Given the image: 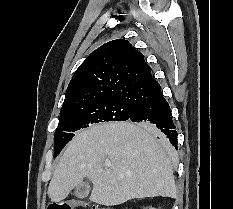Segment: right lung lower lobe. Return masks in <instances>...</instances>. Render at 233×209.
Returning a JSON list of instances; mask_svg holds the SVG:
<instances>
[{"instance_id": "obj_1", "label": "right lung lower lobe", "mask_w": 233, "mask_h": 209, "mask_svg": "<svg viewBox=\"0 0 233 209\" xmlns=\"http://www.w3.org/2000/svg\"><path fill=\"white\" fill-rule=\"evenodd\" d=\"M128 120L152 126L160 135L161 132L164 133L170 143L178 149V133L172 121L169 104L161 92L152 99L139 105Z\"/></svg>"}]
</instances>
